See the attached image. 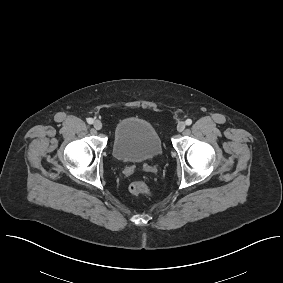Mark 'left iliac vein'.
Returning a JSON list of instances; mask_svg holds the SVG:
<instances>
[{"instance_id":"4c4485c4","label":"left iliac vein","mask_w":283,"mask_h":283,"mask_svg":"<svg viewBox=\"0 0 283 283\" xmlns=\"http://www.w3.org/2000/svg\"><path fill=\"white\" fill-rule=\"evenodd\" d=\"M185 127H186V123L183 122V121H181V122H179V123L177 124V130H178L179 132H182V131L185 129Z\"/></svg>"}]
</instances>
